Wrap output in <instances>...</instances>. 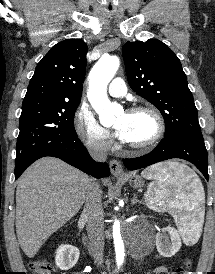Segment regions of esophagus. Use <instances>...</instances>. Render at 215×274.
Instances as JSON below:
<instances>
[{"mask_svg":"<svg viewBox=\"0 0 215 274\" xmlns=\"http://www.w3.org/2000/svg\"><path fill=\"white\" fill-rule=\"evenodd\" d=\"M109 167H110L111 173L114 176L119 177L124 175V170L122 168L120 161L116 159L111 160L109 163Z\"/></svg>","mask_w":215,"mask_h":274,"instance_id":"esophagus-1","label":"esophagus"}]
</instances>
